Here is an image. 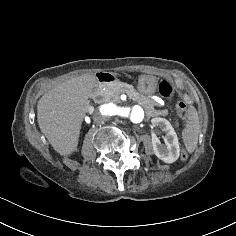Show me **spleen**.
<instances>
[{
    "mask_svg": "<svg viewBox=\"0 0 236 236\" xmlns=\"http://www.w3.org/2000/svg\"><path fill=\"white\" fill-rule=\"evenodd\" d=\"M199 130L200 123L198 112L193 106H191L189 108L187 127L182 132V139L189 153H193L197 147L199 139Z\"/></svg>",
    "mask_w": 236,
    "mask_h": 236,
    "instance_id": "1",
    "label": "spleen"
}]
</instances>
